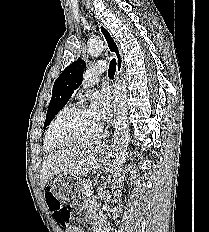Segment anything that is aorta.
Segmentation results:
<instances>
[{
  "instance_id": "obj_1",
  "label": "aorta",
  "mask_w": 209,
  "mask_h": 232,
  "mask_svg": "<svg viewBox=\"0 0 209 232\" xmlns=\"http://www.w3.org/2000/svg\"><path fill=\"white\" fill-rule=\"evenodd\" d=\"M104 45L100 38H92L88 43V53L91 56H99ZM114 157L111 170L113 172L112 188L118 186L121 173L124 169L127 147L130 140L127 112V84L126 77H122L114 85Z\"/></svg>"
}]
</instances>
